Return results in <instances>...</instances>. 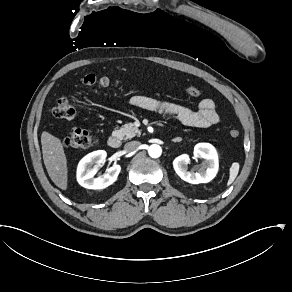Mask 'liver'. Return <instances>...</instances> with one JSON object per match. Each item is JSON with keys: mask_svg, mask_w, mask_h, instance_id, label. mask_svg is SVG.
Wrapping results in <instances>:
<instances>
[{"mask_svg": "<svg viewBox=\"0 0 292 292\" xmlns=\"http://www.w3.org/2000/svg\"><path fill=\"white\" fill-rule=\"evenodd\" d=\"M43 161L52 182L61 190L68 188V166L62 141L47 131L41 134Z\"/></svg>", "mask_w": 292, "mask_h": 292, "instance_id": "6515ba94", "label": "liver"}]
</instances>
